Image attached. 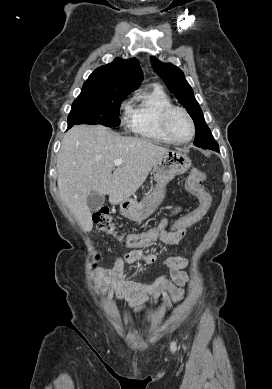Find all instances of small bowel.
<instances>
[{"instance_id": "c3829d8e", "label": "small bowel", "mask_w": 272, "mask_h": 389, "mask_svg": "<svg viewBox=\"0 0 272 389\" xmlns=\"http://www.w3.org/2000/svg\"><path fill=\"white\" fill-rule=\"evenodd\" d=\"M182 211L181 206H176L168 216L163 218L158 227L163 228L169 222V217ZM186 235L187 229L174 233L163 232L159 240L166 244L175 245L183 241ZM121 243L125 245L123 242ZM155 261L156 256L152 253L141 250L126 252L122 256L116 257L112 265L100 268L99 287H102L103 293L118 302L127 304L134 312L142 311L150 303H170L181 300L184 295V286L188 281L184 271L187 265L184 257L177 256L165 260L164 264L171 272V280H168L165 275L159 276L150 283L124 279V263L144 262L153 264Z\"/></svg>"}]
</instances>
